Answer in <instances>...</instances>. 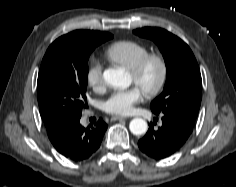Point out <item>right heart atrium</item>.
I'll list each match as a JSON object with an SVG mask.
<instances>
[{"mask_svg": "<svg viewBox=\"0 0 236 187\" xmlns=\"http://www.w3.org/2000/svg\"><path fill=\"white\" fill-rule=\"evenodd\" d=\"M86 82L95 91H100L104 88L103 70L98 61H93L89 64L86 71Z\"/></svg>", "mask_w": 236, "mask_h": 187, "instance_id": "1", "label": "right heart atrium"}]
</instances>
